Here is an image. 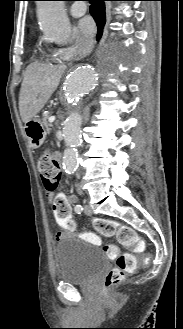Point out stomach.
Segmentation results:
<instances>
[{"label":"stomach","mask_w":183,"mask_h":329,"mask_svg":"<svg viewBox=\"0 0 183 329\" xmlns=\"http://www.w3.org/2000/svg\"><path fill=\"white\" fill-rule=\"evenodd\" d=\"M24 131L31 148H39L46 138L47 132L42 121L37 117H33L25 123Z\"/></svg>","instance_id":"stomach-1"}]
</instances>
